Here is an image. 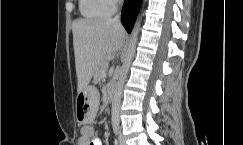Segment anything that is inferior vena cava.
<instances>
[{"label": "inferior vena cava", "instance_id": "inferior-vena-cava-1", "mask_svg": "<svg viewBox=\"0 0 243 145\" xmlns=\"http://www.w3.org/2000/svg\"><path fill=\"white\" fill-rule=\"evenodd\" d=\"M119 17H120L119 15H116V16L113 18V20H114V21H119Z\"/></svg>", "mask_w": 243, "mask_h": 145}]
</instances>
